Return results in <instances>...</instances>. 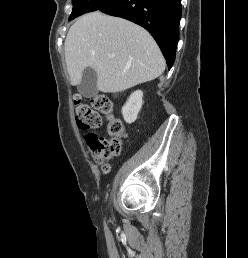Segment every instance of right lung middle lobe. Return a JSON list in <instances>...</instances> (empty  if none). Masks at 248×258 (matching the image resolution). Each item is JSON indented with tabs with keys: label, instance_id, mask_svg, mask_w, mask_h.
<instances>
[{
	"label": "right lung middle lobe",
	"instance_id": "right-lung-middle-lobe-1",
	"mask_svg": "<svg viewBox=\"0 0 248 258\" xmlns=\"http://www.w3.org/2000/svg\"><path fill=\"white\" fill-rule=\"evenodd\" d=\"M113 0H72L73 10L69 20L91 11H96L109 4Z\"/></svg>",
	"mask_w": 248,
	"mask_h": 258
}]
</instances>
